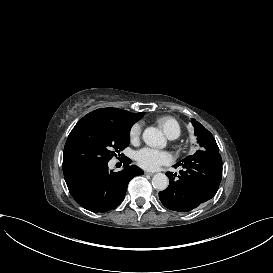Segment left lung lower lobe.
I'll return each mask as SVG.
<instances>
[{
    "label": "left lung lower lobe",
    "mask_w": 273,
    "mask_h": 273,
    "mask_svg": "<svg viewBox=\"0 0 273 273\" xmlns=\"http://www.w3.org/2000/svg\"><path fill=\"white\" fill-rule=\"evenodd\" d=\"M182 166L180 176L167 172L170 184L159 192L162 204L174 211L188 212L211 199L221 182L222 158L219 152L199 150L174 167Z\"/></svg>",
    "instance_id": "1"
}]
</instances>
